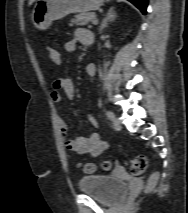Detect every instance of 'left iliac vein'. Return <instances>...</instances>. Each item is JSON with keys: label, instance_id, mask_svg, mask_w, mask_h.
<instances>
[{"label": "left iliac vein", "instance_id": "left-iliac-vein-1", "mask_svg": "<svg viewBox=\"0 0 188 213\" xmlns=\"http://www.w3.org/2000/svg\"><path fill=\"white\" fill-rule=\"evenodd\" d=\"M113 127L116 130H120L122 128L120 120L116 117L113 119Z\"/></svg>", "mask_w": 188, "mask_h": 213}]
</instances>
